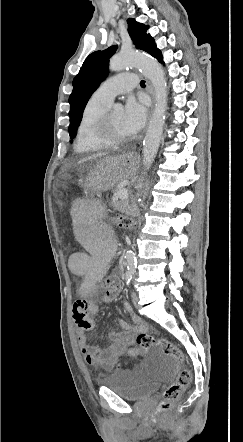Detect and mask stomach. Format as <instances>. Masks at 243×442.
<instances>
[{"mask_svg":"<svg viewBox=\"0 0 243 442\" xmlns=\"http://www.w3.org/2000/svg\"><path fill=\"white\" fill-rule=\"evenodd\" d=\"M137 163V157L133 154L107 157L98 162L89 172L83 182V188L86 192L96 193L110 190L122 180L133 176Z\"/></svg>","mask_w":243,"mask_h":442,"instance_id":"0dacf381","label":"stomach"}]
</instances>
